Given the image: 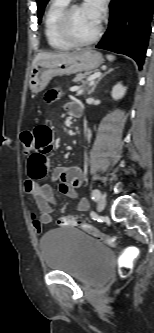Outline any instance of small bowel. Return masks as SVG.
<instances>
[{
	"mask_svg": "<svg viewBox=\"0 0 154 333\" xmlns=\"http://www.w3.org/2000/svg\"><path fill=\"white\" fill-rule=\"evenodd\" d=\"M56 97L55 91L47 94V100L52 101ZM81 108L77 103H68L66 109L73 115L75 109ZM33 148L28 157L27 170L28 180L24 184L25 191L32 196L40 212L39 219H33V226L39 233L42 224H50L53 221V211L56 201L49 184L40 183L50 168L49 153L54 145L52 129L46 124L36 125L33 130ZM53 180L59 181V190L72 200H76V210L83 212L88 210L89 203L85 198H78L76 190L82 182L81 170L76 166H60L51 174Z\"/></svg>",
	"mask_w": 154,
	"mask_h": 333,
	"instance_id": "small-bowel-1",
	"label": "small bowel"
}]
</instances>
